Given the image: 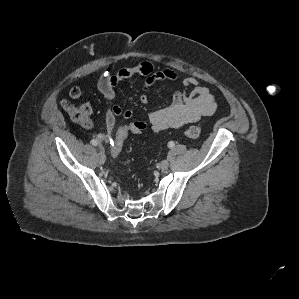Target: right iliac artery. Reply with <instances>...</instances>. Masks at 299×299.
<instances>
[{
	"instance_id": "1",
	"label": "right iliac artery",
	"mask_w": 299,
	"mask_h": 299,
	"mask_svg": "<svg viewBox=\"0 0 299 299\" xmlns=\"http://www.w3.org/2000/svg\"><path fill=\"white\" fill-rule=\"evenodd\" d=\"M91 144L93 146H96L98 144V141L96 139L91 140Z\"/></svg>"
}]
</instances>
